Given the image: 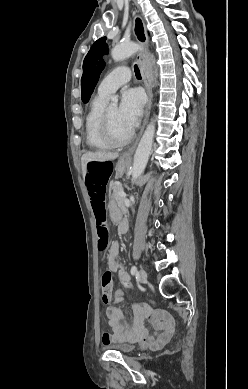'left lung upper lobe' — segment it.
<instances>
[{"label":"left lung upper lobe","instance_id":"obj_1","mask_svg":"<svg viewBox=\"0 0 248 389\" xmlns=\"http://www.w3.org/2000/svg\"><path fill=\"white\" fill-rule=\"evenodd\" d=\"M108 53L106 37L98 39L90 48L83 62V75L81 78V99L88 102L91 94L99 80V76L104 69L105 62L103 55Z\"/></svg>","mask_w":248,"mask_h":389}]
</instances>
